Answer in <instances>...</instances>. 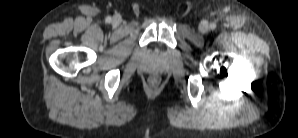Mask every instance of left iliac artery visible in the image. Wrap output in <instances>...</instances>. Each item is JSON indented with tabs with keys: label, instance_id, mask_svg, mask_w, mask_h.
Listing matches in <instances>:
<instances>
[{
	"label": "left iliac artery",
	"instance_id": "obj_1",
	"mask_svg": "<svg viewBox=\"0 0 298 138\" xmlns=\"http://www.w3.org/2000/svg\"><path fill=\"white\" fill-rule=\"evenodd\" d=\"M210 28H211L212 30H214V29L216 28V25H215L214 23H212V24L210 25Z\"/></svg>",
	"mask_w": 298,
	"mask_h": 138
}]
</instances>
